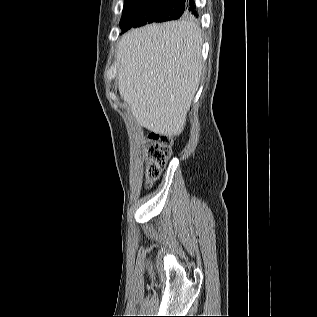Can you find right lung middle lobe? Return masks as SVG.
Returning <instances> with one entry per match:
<instances>
[{"label":"right lung middle lobe","instance_id":"dd1d6c3e","mask_svg":"<svg viewBox=\"0 0 317 317\" xmlns=\"http://www.w3.org/2000/svg\"><path fill=\"white\" fill-rule=\"evenodd\" d=\"M191 18L179 0H125L120 21L122 33L132 27L178 18Z\"/></svg>","mask_w":317,"mask_h":317}]
</instances>
